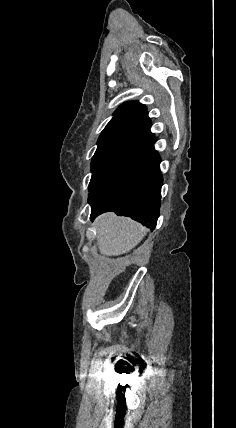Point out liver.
I'll use <instances>...</instances> for the list:
<instances>
[{"label":"liver","mask_w":236,"mask_h":428,"mask_svg":"<svg viewBox=\"0 0 236 428\" xmlns=\"http://www.w3.org/2000/svg\"><path fill=\"white\" fill-rule=\"evenodd\" d=\"M97 246L103 256H121L140 244L148 230L130 218H118L112 212L95 222Z\"/></svg>","instance_id":"obj_1"}]
</instances>
